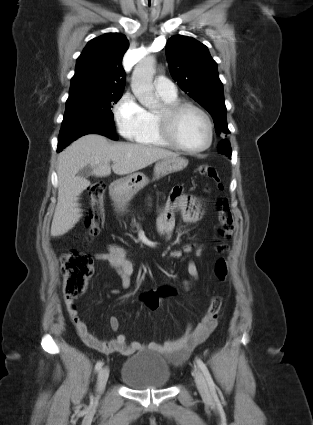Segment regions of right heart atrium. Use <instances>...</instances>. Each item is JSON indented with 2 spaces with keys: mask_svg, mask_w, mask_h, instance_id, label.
I'll return each instance as SVG.
<instances>
[{
  "mask_svg": "<svg viewBox=\"0 0 313 425\" xmlns=\"http://www.w3.org/2000/svg\"><path fill=\"white\" fill-rule=\"evenodd\" d=\"M118 130L122 136L137 140L149 128V114L131 93H125L113 110Z\"/></svg>",
  "mask_w": 313,
  "mask_h": 425,
  "instance_id": "d8ad5b80",
  "label": "right heart atrium"
}]
</instances>
